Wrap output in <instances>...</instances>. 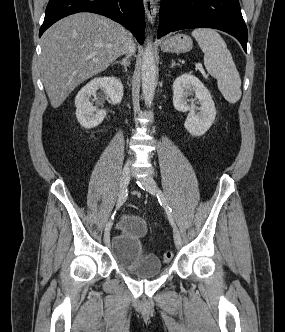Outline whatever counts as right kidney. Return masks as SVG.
<instances>
[{"label":"right kidney","instance_id":"right-kidney-1","mask_svg":"<svg viewBox=\"0 0 285 332\" xmlns=\"http://www.w3.org/2000/svg\"><path fill=\"white\" fill-rule=\"evenodd\" d=\"M99 89L110 98L113 105L119 104L122 100L123 85L119 79L114 76L92 79L75 98L76 117L84 128L90 129L98 126L106 116V110H98L90 101L91 96H97Z\"/></svg>","mask_w":285,"mask_h":332}]
</instances>
